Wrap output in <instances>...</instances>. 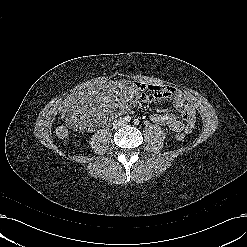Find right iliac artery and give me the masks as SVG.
Segmentation results:
<instances>
[{
	"label": "right iliac artery",
	"instance_id": "obj_1",
	"mask_svg": "<svg viewBox=\"0 0 247 247\" xmlns=\"http://www.w3.org/2000/svg\"><path fill=\"white\" fill-rule=\"evenodd\" d=\"M126 120H127V121H130V120H131V118L128 116V117H126Z\"/></svg>",
	"mask_w": 247,
	"mask_h": 247
}]
</instances>
